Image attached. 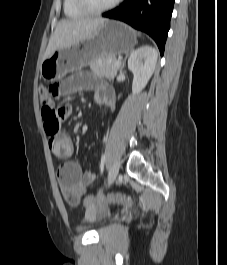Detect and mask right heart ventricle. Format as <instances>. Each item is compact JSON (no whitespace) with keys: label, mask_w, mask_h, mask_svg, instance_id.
I'll return each mask as SVG.
<instances>
[{"label":"right heart ventricle","mask_w":227,"mask_h":265,"mask_svg":"<svg viewBox=\"0 0 227 265\" xmlns=\"http://www.w3.org/2000/svg\"><path fill=\"white\" fill-rule=\"evenodd\" d=\"M63 10L65 15L70 18H77L86 14L77 7L75 0H64Z\"/></svg>","instance_id":"1"}]
</instances>
